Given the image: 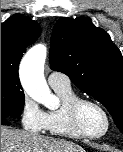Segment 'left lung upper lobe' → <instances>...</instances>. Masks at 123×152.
Here are the masks:
<instances>
[{
    "label": "left lung upper lobe",
    "mask_w": 123,
    "mask_h": 152,
    "mask_svg": "<svg viewBox=\"0 0 123 152\" xmlns=\"http://www.w3.org/2000/svg\"><path fill=\"white\" fill-rule=\"evenodd\" d=\"M50 66L102 103L123 133V57L106 31L85 17L60 18L51 37Z\"/></svg>",
    "instance_id": "obj_1"
}]
</instances>
